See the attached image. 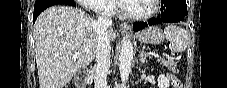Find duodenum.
<instances>
[{"label": "duodenum", "instance_id": "410a0bca", "mask_svg": "<svg viewBox=\"0 0 227 88\" xmlns=\"http://www.w3.org/2000/svg\"><path fill=\"white\" fill-rule=\"evenodd\" d=\"M88 76H89V72L87 70H83L82 72L79 73V75L75 79L77 85L79 86L78 88L87 87Z\"/></svg>", "mask_w": 227, "mask_h": 88}]
</instances>
